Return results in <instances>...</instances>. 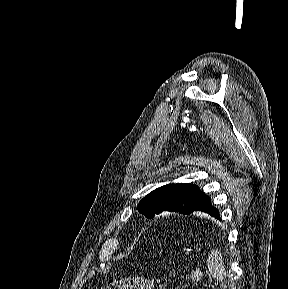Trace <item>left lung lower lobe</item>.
Here are the masks:
<instances>
[{
	"mask_svg": "<svg viewBox=\"0 0 288 289\" xmlns=\"http://www.w3.org/2000/svg\"><path fill=\"white\" fill-rule=\"evenodd\" d=\"M194 211H201L210 214L211 216L215 217L216 219L220 220V215L218 210L212 206L210 198L206 195L194 208ZM191 212V213H192Z\"/></svg>",
	"mask_w": 288,
	"mask_h": 289,
	"instance_id": "obj_1",
	"label": "left lung lower lobe"
}]
</instances>
